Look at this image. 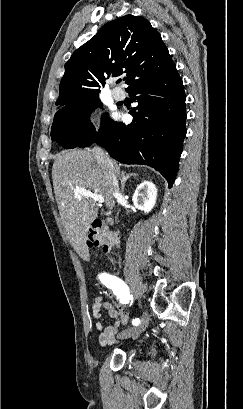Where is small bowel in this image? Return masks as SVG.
Here are the masks:
<instances>
[{
  "mask_svg": "<svg viewBox=\"0 0 243 409\" xmlns=\"http://www.w3.org/2000/svg\"><path fill=\"white\" fill-rule=\"evenodd\" d=\"M103 312L113 320V323L108 326H104L101 321L96 324L99 331V343L105 347L115 342L119 326L127 324L129 317L124 310L116 308L102 297H97L93 304V315L101 319Z\"/></svg>",
  "mask_w": 243,
  "mask_h": 409,
  "instance_id": "small-bowel-1",
  "label": "small bowel"
}]
</instances>
